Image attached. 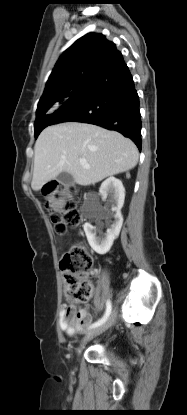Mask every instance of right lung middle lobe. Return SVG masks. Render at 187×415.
Here are the masks:
<instances>
[{
  "instance_id": "1",
  "label": "right lung middle lobe",
  "mask_w": 187,
  "mask_h": 415,
  "mask_svg": "<svg viewBox=\"0 0 187 415\" xmlns=\"http://www.w3.org/2000/svg\"><path fill=\"white\" fill-rule=\"evenodd\" d=\"M86 84V81L82 82L81 84L70 88L66 91V93L55 103L42 107L40 109H37L36 112V120L34 122V132H35V138L38 137L40 132L47 126L51 125L52 122V111H54L56 108L61 107L67 100H69L72 96L83 90L84 86Z\"/></svg>"
}]
</instances>
